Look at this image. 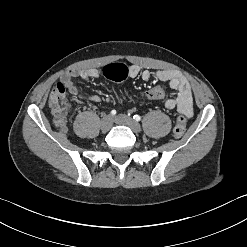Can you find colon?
Segmentation results:
<instances>
[{
	"label": "colon",
	"instance_id": "5ec220e1",
	"mask_svg": "<svg viewBox=\"0 0 247 247\" xmlns=\"http://www.w3.org/2000/svg\"><path fill=\"white\" fill-rule=\"evenodd\" d=\"M103 75L112 81L121 82L128 78L129 68L122 63H113L104 67ZM144 96L151 100L162 99L164 91L159 86H156L144 93ZM49 105L56 124L64 127L66 113L68 109V100L65 88L61 83L55 84L49 98ZM186 131V118L181 115L177 118L173 135L175 138H180Z\"/></svg>",
	"mask_w": 247,
	"mask_h": 247
}]
</instances>
